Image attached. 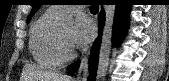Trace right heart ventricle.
Here are the masks:
<instances>
[{
	"label": "right heart ventricle",
	"mask_w": 169,
	"mask_h": 81,
	"mask_svg": "<svg viewBox=\"0 0 169 81\" xmlns=\"http://www.w3.org/2000/svg\"><path fill=\"white\" fill-rule=\"evenodd\" d=\"M59 16L58 11L49 8L31 28L29 49L35 62L42 67L57 68L61 64L55 41Z\"/></svg>",
	"instance_id": "1"
}]
</instances>
